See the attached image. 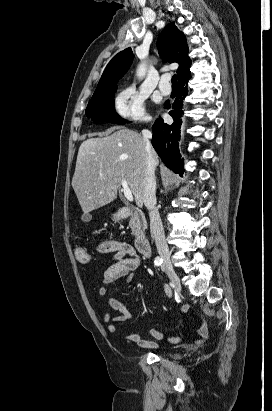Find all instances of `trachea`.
Here are the masks:
<instances>
[{
	"mask_svg": "<svg viewBox=\"0 0 272 411\" xmlns=\"http://www.w3.org/2000/svg\"><path fill=\"white\" fill-rule=\"evenodd\" d=\"M172 86H177V76H176V74H174L173 77H172Z\"/></svg>",
	"mask_w": 272,
	"mask_h": 411,
	"instance_id": "3493384b",
	"label": "trachea"
}]
</instances>
